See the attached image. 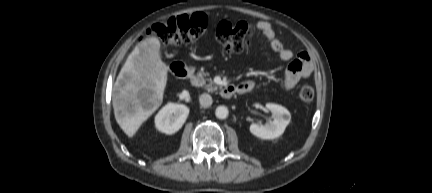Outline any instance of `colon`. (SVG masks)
<instances>
[{"mask_svg": "<svg viewBox=\"0 0 432 193\" xmlns=\"http://www.w3.org/2000/svg\"><path fill=\"white\" fill-rule=\"evenodd\" d=\"M207 16L203 13L180 15L155 23L147 31L157 36L166 46L191 44L197 41L207 29ZM254 27L246 22L229 23L222 21L217 25L215 38L228 54H238L250 48ZM303 103H310L314 98V89L305 85L299 92Z\"/></svg>", "mask_w": 432, "mask_h": 193, "instance_id": "colon-1", "label": "colon"}]
</instances>
